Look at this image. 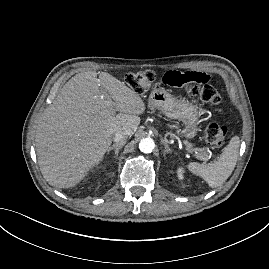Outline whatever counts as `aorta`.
Masks as SVG:
<instances>
[{
	"mask_svg": "<svg viewBox=\"0 0 269 269\" xmlns=\"http://www.w3.org/2000/svg\"><path fill=\"white\" fill-rule=\"evenodd\" d=\"M154 148V140L150 137L143 138L139 143V149L144 153H151Z\"/></svg>",
	"mask_w": 269,
	"mask_h": 269,
	"instance_id": "obj_1",
	"label": "aorta"
}]
</instances>
